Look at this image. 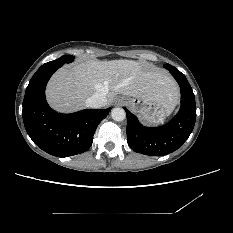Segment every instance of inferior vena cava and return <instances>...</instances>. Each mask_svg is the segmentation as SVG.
I'll return each mask as SVG.
<instances>
[{"label":"inferior vena cava","mask_w":233,"mask_h":233,"mask_svg":"<svg viewBox=\"0 0 233 233\" xmlns=\"http://www.w3.org/2000/svg\"><path fill=\"white\" fill-rule=\"evenodd\" d=\"M87 107L101 108L107 104V98L103 93H95L85 102Z\"/></svg>","instance_id":"obj_1"}]
</instances>
